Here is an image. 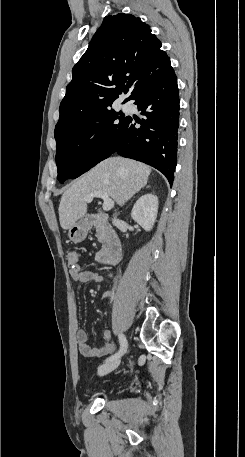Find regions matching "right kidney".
Returning a JSON list of instances; mask_svg holds the SVG:
<instances>
[{
    "label": "right kidney",
    "mask_w": 245,
    "mask_h": 457,
    "mask_svg": "<svg viewBox=\"0 0 245 457\" xmlns=\"http://www.w3.org/2000/svg\"><path fill=\"white\" fill-rule=\"evenodd\" d=\"M157 212L158 196L148 192V194H143V196H140V198L136 200L131 210V216L140 226H143L145 231H151L156 220Z\"/></svg>",
    "instance_id": "1"
}]
</instances>
